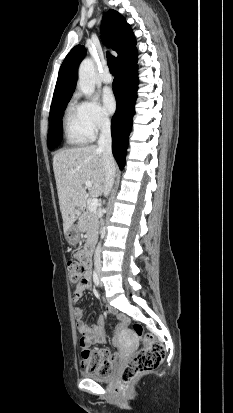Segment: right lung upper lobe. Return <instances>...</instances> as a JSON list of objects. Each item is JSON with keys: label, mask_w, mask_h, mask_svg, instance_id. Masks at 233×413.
Listing matches in <instances>:
<instances>
[{"label": "right lung upper lobe", "mask_w": 233, "mask_h": 413, "mask_svg": "<svg viewBox=\"0 0 233 413\" xmlns=\"http://www.w3.org/2000/svg\"><path fill=\"white\" fill-rule=\"evenodd\" d=\"M103 42L118 53L117 63L136 49V39L125 18L115 10L106 12L102 19ZM85 56L83 46H75L64 59L52 99V104L71 98L77 80L76 69Z\"/></svg>", "instance_id": "obj_1"}]
</instances>
